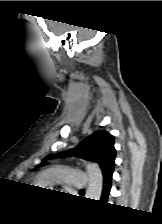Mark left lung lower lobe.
I'll list each match as a JSON object with an SVG mask.
<instances>
[{
  "label": "left lung lower lobe",
  "instance_id": "1",
  "mask_svg": "<svg viewBox=\"0 0 162 224\" xmlns=\"http://www.w3.org/2000/svg\"><path fill=\"white\" fill-rule=\"evenodd\" d=\"M112 174L113 172L109 173L107 176L104 177L103 191H102V197H101V201L103 203H106L108 195L110 193Z\"/></svg>",
  "mask_w": 162,
  "mask_h": 224
}]
</instances>
